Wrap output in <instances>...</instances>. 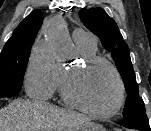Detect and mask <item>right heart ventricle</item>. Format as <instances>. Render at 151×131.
I'll return each instance as SVG.
<instances>
[{
  "mask_svg": "<svg viewBox=\"0 0 151 131\" xmlns=\"http://www.w3.org/2000/svg\"><path fill=\"white\" fill-rule=\"evenodd\" d=\"M76 45L82 57L92 56L96 54V50H97L96 45H91V44L82 43V42H76ZM68 70L69 69L65 65L59 64L60 73H59L58 87L62 88L63 81Z\"/></svg>",
  "mask_w": 151,
  "mask_h": 131,
  "instance_id": "1",
  "label": "right heart ventricle"
}]
</instances>
